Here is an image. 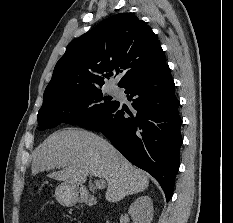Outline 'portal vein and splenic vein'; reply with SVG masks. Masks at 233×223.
Segmentation results:
<instances>
[{
    "mask_svg": "<svg viewBox=\"0 0 233 223\" xmlns=\"http://www.w3.org/2000/svg\"><path fill=\"white\" fill-rule=\"evenodd\" d=\"M92 181H94L95 185H97V187H99V189H104L105 185H106V181L105 179H92Z\"/></svg>",
    "mask_w": 233,
    "mask_h": 223,
    "instance_id": "portal-vein-and-splenic-vein-1",
    "label": "portal vein and splenic vein"
}]
</instances>
